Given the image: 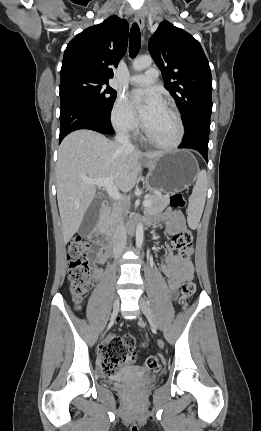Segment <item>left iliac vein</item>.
<instances>
[{"instance_id": "1", "label": "left iliac vein", "mask_w": 261, "mask_h": 431, "mask_svg": "<svg viewBox=\"0 0 261 431\" xmlns=\"http://www.w3.org/2000/svg\"><path fill=\"white\" fill-rule=\"evenodd\" d=\"M139 306H140L141 311L144 313V315L147 317L148 321L152 325V327H154L155 329H159L160 325H159L152 309L150 308V305H149L148 301L146 300V298L140 297Z\"/></svg>"}]
</instances>
